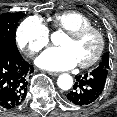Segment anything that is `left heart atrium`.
Instances as JSON below:
<instances>
[{
    "label": "left heart atrium",
    "instance_id": "left-heart-atrium-1",
    "mask_svg": "<svg viewBox=\"0 0 117 117\" xmlns=\"http://www.w3.org/2000/svg\"><path fill=\"white\" fill-rule=\"evenodd\" d=\"M35 62L38 67L53 71L71 69L78 64L74 53L68 47L49 48Z\"/></svg>",
    "mask_w": 117,
    "mask_h": 117
}]
</instances>
